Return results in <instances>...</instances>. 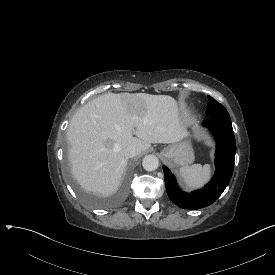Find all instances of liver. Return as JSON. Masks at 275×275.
I'll list each match as a JSON object with an SVG mask.
<instances>
[{"mask_svg": "<svg viewBox=\"0 0 275 275\" xmlns=\"http://www.w3.org/2000/svg\"><path fill=\"white\" fill-rule=\"evenodd\" d=\"M187 133L180 105L172 96L104 93L77 110L69 123L72 176L84 190L110 197L122 185L127 145H135L141 154L152 143L178 141Z\"/></svg>", "mask_w": 275, "mask_h": 275, "instance_id": "liver-1", "label": "liver"}]
</instances>
